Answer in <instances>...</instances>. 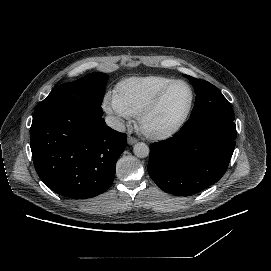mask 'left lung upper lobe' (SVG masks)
<instances>
[{
  "instance_id": "left-lung-upper-lobe-1",
  "label": "left lung upper lobe",
  "mask_w": 271,
  "mask_h": 271,
  "mask_svg": "<svg viewBox=\"0 0 271 271\" xmlns=\"http://www.w3.org/2000/svg\"><path fill=\"white\" fill-rule=\"evenodd\" d=\"M185 76L190 80L197 95L190 118L202 114L234 115L230 103L214 85L205 80Z\"/></svg>"
}]
</instances>
